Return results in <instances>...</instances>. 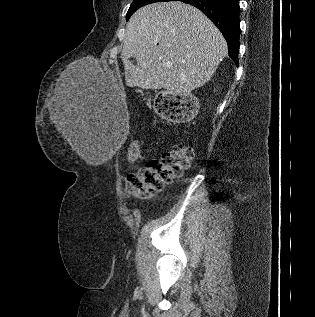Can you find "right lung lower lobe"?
<instances>
[{
    "label": "right lung lower lobe",
    "instance_id": "right-lung-lower-lobe-1",
    "mask_svg": "<svg viewBox=\"0 0 315 317\" xmlns=\"http://www.w3.org/2000/svg\"><path fill=\"white\" fill-rule=\"evenodd\" d=\"M200 9L221 31L229 56L238 65L240 37L239 0H177Z\"/></svg>",
    "mask_w": 315,
    "mask_h": 317
}]
</instances>
